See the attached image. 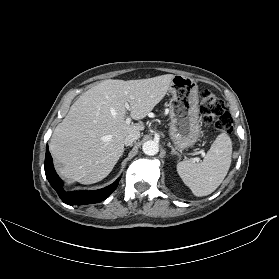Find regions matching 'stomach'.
<instances>
[{
	"instance_id": "1",
	"label": "stomach",
	"mask_w": 279,
	"mask_h": 279,
	"mask_svg": "<svg viewBox=\"0 0 279 279\" xmlns=\"http://www.w3.org/2000/svg\"><path fill=\"white\" fill-rule=\"evenodd\" d=\"M169 92L172 95L169 136L175 147L181 150L194 145L199 138L198 85L190 77L175 75Z\"/></svg>"
}]
</instances>
